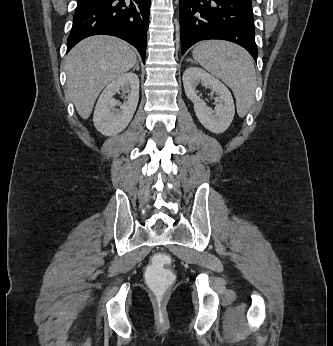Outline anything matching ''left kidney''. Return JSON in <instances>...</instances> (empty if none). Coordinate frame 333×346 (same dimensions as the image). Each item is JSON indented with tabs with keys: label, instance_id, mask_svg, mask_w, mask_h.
<instances>
[{
	"label": "left kidney",
	"instance_id": "1",
	"mask_svg": "<svg viewBox=\"0 0 333 346\" xmlns=\"http://www.w3.org/2000/svg\"><path fill=\"white\" fill-rule=\"evenodd\" d=\"M204 85L216 93V106L212 110L197 96L196 87ZM186 96L193 102L194 111L201 124L213 133H223L230 126L234 114V101L229 89L214 76L199 67H189L183 74Z\"/></svg>",
	"mask_w": 333,
	"mask_h": 346
}]
</instances>
